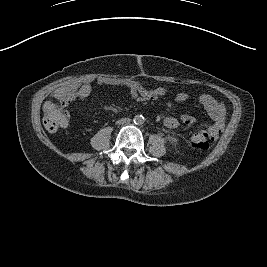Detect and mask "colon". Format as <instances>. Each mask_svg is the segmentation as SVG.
<instances>
[{
	"instance_id": "1",
	"label": "colon",
	"mask_w": 267,
	"mask_h": 267,
	"mask_svg": "<svg viewBox=\"0 0 267 267\" xmlns=\"http://www.w3.org/2000/svg\"><path fill=\"white\" fill-rule=\"evenodd\" d=\"M42 113L44 126L49 131H57L68 123L66 112L56 102H45L42 107ZM212 141L213 138L205 132H197L191 139L192 146L199 150H207Z\"/></svg>"
}]
</instances>
